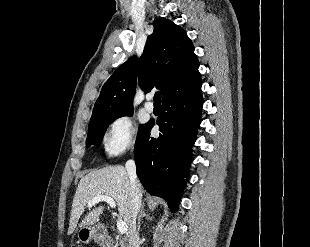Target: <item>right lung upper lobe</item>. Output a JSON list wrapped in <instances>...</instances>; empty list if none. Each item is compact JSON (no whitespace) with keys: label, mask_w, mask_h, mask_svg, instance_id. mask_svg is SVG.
I'll return each instance as SVG.
<instances>
[{"label":"right lung upper lobe","mask_w":310,"mask_h":247,"mask_svg":"<svg viewBox=\"0 0 310 247\" xmlns=\"http://www.w3.org/2000/svg\"><path fill=\"white\" fill-rule=\"evenodd\" d=\"M198 67L193 44L186 32L170 20L157 19L141 58H129L102 87L90 123L133 110L131 102L137 76L145 93L156 87L160 89L162 99H165L200 82Z\"/></svg>","instance_id":"1"}]
</instances>
